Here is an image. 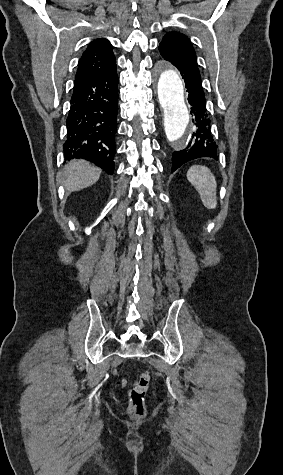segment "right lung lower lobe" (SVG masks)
Here are the masks:
<instances>
[{
  "mask_svg": "<svg viewBox=\"0 0 283 475\" xmlns=\"http://www.w3.org/2000/svg\"><path fill=\"white\" fill-rule=\"evenodd\" d=\"M118 75L116 68L97 75L75 77L66 120V160L83 158L108 174L114 171L117 131Z\"/></svg>",
  "mask_w": 283,
  "mask_h": 475,
  "instance_id": "right-lung-lower-lobe-1",
  "label": "right lung lower lobe"
}]
</instances>
